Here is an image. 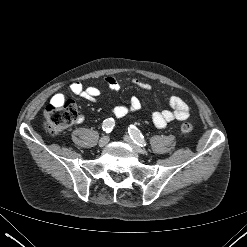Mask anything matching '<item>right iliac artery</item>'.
<instances>
[{
  "instance_id": "1",
  "label": "right iliac artery",
  "mask_w": 247,
  "mask_h": 247,
  "mask_svg": "<svg viewBox=\"0 0 247 247\" xmlns=\"http://www.w3.org/2000/svg\"><path fill=\"white\" fill-rule=\"evenodd\" d=\"M115 126V121L113 118H108L103 121L102 128L106 133H109L112 131L113 127Z\"/></svg>"
}]
</instances>
